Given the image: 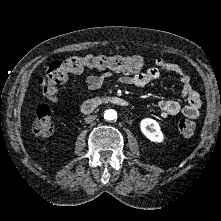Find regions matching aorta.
Returning <instances> with one entry per match:
<instances>
[{
  "label": "aorta",
  "mask_w": 221,
  "mask_h": 221,
  "mask_svg": "<svg viewBox=\"0 0 221 221\" xmlns=\"http://www.w3.org/2000/svg\"><path fill=\"white\" fill-rule=\"evenodd\" d=\"M104 119L107 121H112L117 119V112L113 109H108L104 113Z\"/></svg>",
  "instance_id": "1"
}]
</instances>
